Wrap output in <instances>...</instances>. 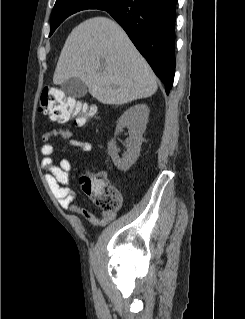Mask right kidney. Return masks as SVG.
I'll list each match as a JSON object with an SVG mask.
<instances>
[{"instance_id": "right-kidney-1", "label": "right kidney", "mask_w": 245, "mask_h": 319, "mask_svg": "<svg viewBox=\"0 0 245 319\" xmlns=\"http://www.w3.org/2000/svg\"><path fill=\"white\" fill-rule=\"evenodd\" d=\"M148 117V106L146 104H137L124 112L118 119L115 135L122 132L125 127L129 129V137L125 141L127 151L122 158L118 155L119 150L115 138L108 143V154L119 170L127 171L138 159Z\"/></svg>"}]
</instances>
